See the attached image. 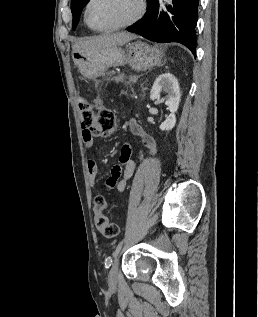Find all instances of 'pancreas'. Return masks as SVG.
I'll use <instances>...</instances> for the list:
<instances>
[{"instance_id":"1","label":"pancreas","mask_w":258,"mask_h":317,"mask_svg":"<svg viewBox=\"0 0 258 317\" xmlns=\"http://www.w3.org/2000/svg\"><path fill=\"white\" fill-rule=\"evenodd\" d=\"M138 76H130L129 82H136ZM117 83L118 84H124L125 83V78L124 77H118L117 78ZM120 95H125V90H120Z\"/></svg>"}]
</instances>
